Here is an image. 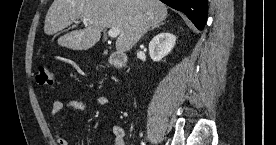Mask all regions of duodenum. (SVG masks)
Masks as SVG:
<instances>
[{"label":"duodenum","mask_w":276,"mask_h":145,"mask_svg":"<svg viewBox=\"0 0 276 145\" xmlns=\"http://www.w3.org/2000/svg\"><path fill=\"white\" fill-rule=\"evenodd\" d=\"M109 61L116 68H122L126 63V56L123 52H114L111 54Z\"/></svg>","instance_id":"410a0bca"}]
</instances>
